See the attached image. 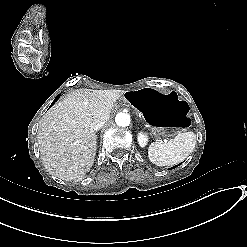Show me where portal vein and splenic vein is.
I'll return each mask as SVG.
<instances>
[{
	"mask_svg": "<svg viewBox=\"0 0 247 247\" xmlns=\"http://www.w3.org/2000/svg\"><path fill=\"white\" fill-rule=\"evenodd\" d=\"M164 143H167V138H163Z\"/></svg>",
	"mask_w": 247,
	"mask_h": 247,
	"instance_id": "obj_1",
	"label": "portal vein and splenic vein"
}]
</instances>
